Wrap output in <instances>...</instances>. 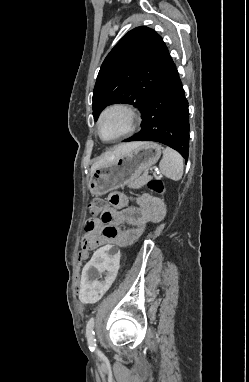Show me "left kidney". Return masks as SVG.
I'll list each match as a JSON object with an SVG mask.
<instances>
[{
	"label": "left kidney",
	"mask_w": 249,
	"mask_h": 382,
	"mask_svg": "<svg viewBox=\"0 0 249 382\" xmlns=\"http://www.w3.org/2000/svg\"><path fill=\"white\" fill-rule=\"evenodd\" d=\"M120 258L118 245H99L80 273L76 301L84 305L100 302L103 293L113 287L115 277L120 276Z\"/></svg>",
	"instance_id": "5707ae66"
}]
</instances>
